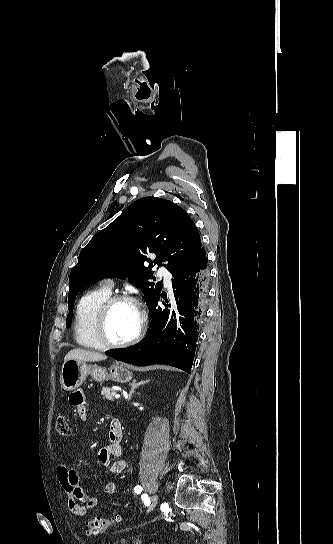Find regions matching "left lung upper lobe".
Returning a JSON list of instances; mask_svg holds the SVG:
<instances>
[{"label": "left lung upper lobe", "instance_id": "5c2ea615", "mask_svg": "<svg viewBox=\"0 0 333 544\" xmlns=\"http://www.w3.org/2000/svg\"><path fill=\"white\" fill-rule=\"evenodd\" d=\"M201 247L199 232L183 208L157 197L135 201L81 251L69 277L66 327L71 326L72 307L82 288L108 275L128 277L150 304L162 289V281H149L155 280L152 268L163 265L173 275ZM149 253L156 255L154 261Z\"/></svg>", "mask_w": 333, "mask_h": 544}]
</instances>
